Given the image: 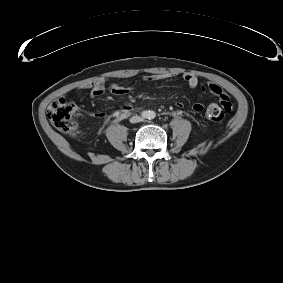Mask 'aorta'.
I'll list each match as a JSON object with an SVG mask.
<instances>
[{"label":"aorta","instance_id":"1","mask_svg":"<svg viewBox=\"0 0 283 283\" xmlns=\"http://www.w3.org/2000/svg\"><path fill=\"white\" fill-rule=\"evenodd\" d=\"M154 117H155L154 111H149L148 112V118H154Z\"/></svg>","mask_w":283,"mask_h":283}]
</instances>
